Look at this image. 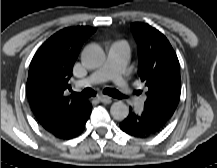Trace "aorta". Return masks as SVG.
Listing matches in <instances>:
<instances>
[{"label": "aorta", "mask_w": 217, "mask_h": 168, "mask_svg": "<svg viewBox=\"0 0 217 168\" xmlns=\"http://www.w3.org/2000/svg\"><path fill=\"white\" fill-rule=\"evenodd\" d=\"M106 56L103 49L96 45L91 44L85 47L82 53L83 63L89 68H98L105 62ZM111 115L117 120H124L129 114L128 106L121 102H115L110 108Z\"/></svg>", "instance_id": "762f6f07"}]
</instances>
